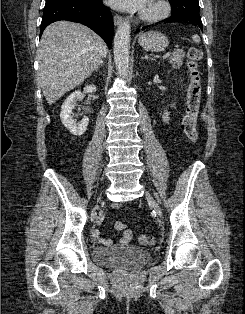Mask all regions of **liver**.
Segmentation results:
<instances>
[{"label":"liver","mask_w":245,"mask_h":314,"mask_svg":"<svg viewBox=\"0 0 245 314\" xmlns=\"http://www.w3.org/2000/svg\"><path fill=\"white\" fill-rule=\"evenodd\" d=\"M102 38L88 27L69 21L50 24L40 40L38 82L49 105L79 86L101 62Z\"/></svg>","instance_id":"liver-1"}]
</instances>
